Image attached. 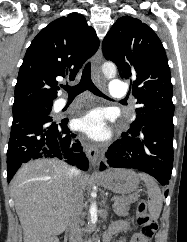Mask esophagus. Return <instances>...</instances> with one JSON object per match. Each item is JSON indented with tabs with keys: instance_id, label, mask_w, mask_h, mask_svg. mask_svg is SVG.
Instances as JSON below:
<instances>
[{
	"instance_id": "esophagus-1",
	"label": "esophagus",
	"mask_w": 187,
	"mask_h": 242,
	"mask_svg": "<svg viewBox=\"0 0 187 242\" xmlns=\"http://www.w3.org/2000/svg\"><path fill=\"white\" fill-rule=\"evenodd\" d=\"M101 63H102V49H101V47H99V49L93 59L94 71L100 70ZM83 144H84V149H85L86 155H87L91 165L94 168H96L97 163H98V157H99V149H98L97 145L91 143L90 141H88L86 139L83 140Z\"/></svg>"
}]
</instances>
